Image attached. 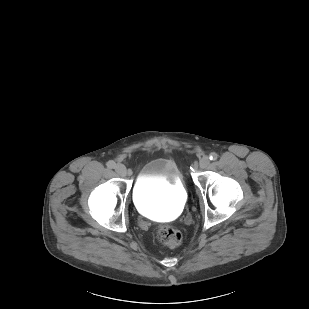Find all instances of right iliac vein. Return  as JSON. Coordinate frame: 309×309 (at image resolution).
I'll use <instances>...</instances> for the list:
<instances>
[{
	"label": "right iliac vein",
	"instance_id": "1",
	"mask_svg": "<svg viewBox=\"0 0 309 309\" xmlns=\"http://www.w3.org/2000/svg\"><path fill=\"white\" fill-rule=\"evenodd\" d=\"M115 171L121 177H125L127 174L126 167L123 164H117L115 166Z\"/></svg>",
	"mask_w": 309,
	"mask_h": 309
}]
</instances>
